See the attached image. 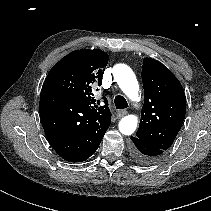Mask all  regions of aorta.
Wrapping results in <instances>:
<instances>
[{
  "instance_id": "obj_1",
  "label": "aorta",
  "mask_w": 211,
  "mask_h": 211,
  "mask_svg": "<svg viewBox=\"0 0 211 211\" xmlns=\"http://www.w3.org/2000/svg\"><path fill=\"white\" fill-rule=\"evenodd\" d=\"M113 76L123 93L131 100H137L139 95V84L133 71L124 64L114 66ZM138 118L135 115H127L119 122V131L124 135L135 132Z\"/></svg>"
}]
</instances>
